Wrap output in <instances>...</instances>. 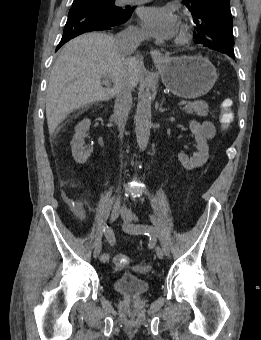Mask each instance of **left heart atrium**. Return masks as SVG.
<instances>
[{
	"mask_svg": "<svg viewBox=\"0 0 261 340\" xmlns=\"http://www.w3.org/2000/svg\"><path fill=\"white\" fill-rule=\"evenodd\" d=\"M140 22L148 36L160 41L174 37L179 28L177 17L170 9L162 6L143 8Z\"/></svg>",
	"mask_w": 261,
	"mask_h": 340,
	"instance_id": "1",
	"label": "left heart atrium"
}]
</instances>
